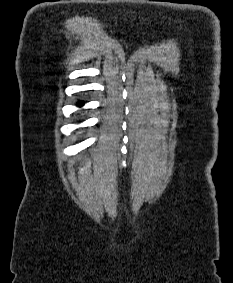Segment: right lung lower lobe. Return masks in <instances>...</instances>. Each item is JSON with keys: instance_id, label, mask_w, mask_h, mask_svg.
Listing matches in <instances>:
<instances>
[{"instance_id": "1", "label": "right lung lower lobe", "mask_w": 233, "mask_h": 283, "mask_svg": "<svg viewBox=\"0 0 233 283\" xmlns=\"http://www.w3.org/2000/svg\"><path fill=\"white\" fill-rule=\"evenodd\" d=\"M82 104H83L82 102L79 103V105H82Z\"/></svg>"}]
</instances>
